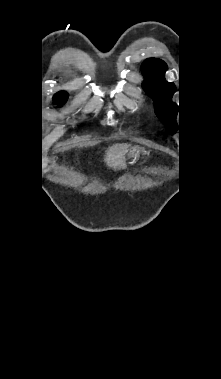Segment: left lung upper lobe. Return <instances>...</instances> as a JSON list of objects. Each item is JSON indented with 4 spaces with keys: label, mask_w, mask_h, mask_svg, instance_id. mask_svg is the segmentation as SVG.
Returning a JSON list of instances; mask_svg holds the SVG:
<instances>
[{
    "label": "left lung upper lobe",
    "mask_w": 221,
    "mask_h": 379,
    "mask_svg": "<svg viewBox=\"0 0 221 379\" xmlns=\"http://www.w3.org/2000/svg\"><path fill=\"white\" fill-rule=\"evenodd\" d=\"M141 68L145 77L143 88L152 97L157 116L164 124L173 125L169 131L175 133L177 105L171 101V98L176 89L173 83L164 79L167 65L160 59L150 58L143 62Z\"/></svg>",
    "instance_id": "obj_1"
}]
</instances>
